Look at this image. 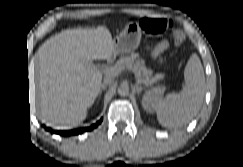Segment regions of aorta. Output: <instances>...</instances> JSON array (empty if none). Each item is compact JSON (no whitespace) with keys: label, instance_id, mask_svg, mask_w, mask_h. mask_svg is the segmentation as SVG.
Segmentation results:
<instances>
[{"label":"aorta","instance_id":"762f6f07","mask_svg":"<svg viewBox=\"0 0 243 167\" xmlns=\"http://www.w3.org/2000/svg\"><path fill=\"white\" fill-rule=\"evenodd\" d=\"M118 94L121 96H127L129 94V87L127 84H121L118 87Z\"/></svg>","mask_w":243,"mask_h":167}]
</instances>
